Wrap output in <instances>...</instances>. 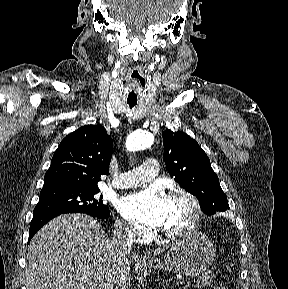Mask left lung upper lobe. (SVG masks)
I'll return each instance as SVG.
<instances>
[{"mask_svg": "<svg viewBox=\"0 0 288 289\" xmlns=\"http://www.w3.org/2000/svg\"><path fill=\"white\" fill-rule=\"evenodd\" d=\"M162 136L165 164L174 180L199 200L205 214L227 211V197L199 144L184 132L166 130Z\"/></svg>", "mask_w": 288, "mask_h": 289, "instance_id": "5c2ea615", "label": "left lung upper lobe"}]
</instances>
